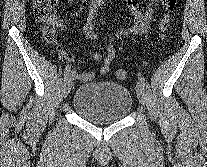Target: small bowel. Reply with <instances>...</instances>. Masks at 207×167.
Segmentation results:
<instances>
[{
	"label": "small bowel",
	"instance_id": "1",
	"mask_svg": "<svg viewBox=\"0 0 207 167\" xmlns=\"http://www.w3.org/2000/svg\"><path fill=\"white\" fill-rule=\"evenodd\" d=\"M126 2L129 6L131 14L134 17V26L128 32L119 31L117 33V37L122 40L136 37L137 35L144 33L148 29L152 20L154 6L158 2V0H148L147 8L144 11H140L136 0H126ZM95 9H96V2H92L89 7V14L85 25V33L88 36V38L91 40L98 39L97 34L93 30V18H94ZM57 26L60 28L63 27L61 22H57ZM116 54H117L116 48L112 45H108L104 53H96L90 56L91 59L102 62V65L97 72L91 71L87 73H78L77 71H72L71 72L72 78L86 82L94 79L97 74L99 75L106 74L110 70V66L113 60L115 59ZM69 59L71 61L77 60V58L74 56H69Z\"/></svg>",
	"mask_w": 207,
	"mask_h": 167
}]
</instances>
